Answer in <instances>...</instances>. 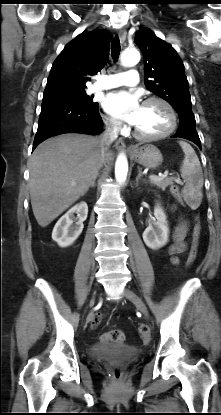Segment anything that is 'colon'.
I'll list each match as a JSON object with an SVG mask.
<instances>
[{"label":"colon","instance_id":"1","mask_svg":"<svg viewBox=\"0 0 221 415\" xmlns=\"http://www.w3.org/2000/svg\"><path fill=\"white\" fill-rule=\"evenodd\" d=\"M179 184L176 182L172 183V188H171V194L174 195V199L178 200L180 204L181 208L185 207V204L182 203L183 202V194L182 192L179 190ZM196 224L194 227V232H193V240H192V245L188 254V259H187V266L190 267L193 265V263L195 262L196 258H197V253H198V247H199V243H200V237H201V224L199 221V218L196 217ZM101 316L100 314H96L92 320V326L96 327L99 322H100ZM138 334L139 336L143 339V340H148L149 338V329L147 327L146 324L141 323L138 326ZM103 341H115L117 343H123L125 340V334L123 333L122 330L120 329H113L110 332L106 333L103 335L102 337ZM112 375L115 379H119L122 375L121 370L119 368H115L112 372Z\"/></svg>","mask_w":221,"mask_h":415}]
</instances>
